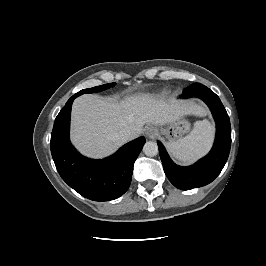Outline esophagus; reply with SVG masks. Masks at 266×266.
Instances as JSON below:
<instances>
[{"mask_svg": "<svg viewBox=\"0 0 266 266\" xmlns=\"http://www.w3.org/2000/svg\"><path fill=\"white\" fill-rule=\"evenodd\" d=\"M158 134V130L156 127L154 126H149V127H146L145 129V135L148 137V138H155Z\"/></svg>", "mask_w": 266, "mask_h": 266, "instance_id": "34e87169", "label": "esophagus"}]
</instances>
